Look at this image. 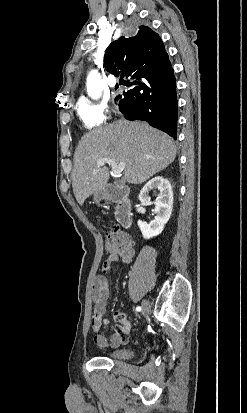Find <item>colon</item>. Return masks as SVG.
<instances>
[{"label":"colon","mask_w":247,"mask_h":413,"mask_svg":"<svg viewBox=\"0 0 247 413\" xmlns=\"http://www.w3.org/2000/svg\"><path fill=\"white\" fill-rule=\"evenodd\" d=\"M127 242V235L119 228H115L107 235V251L114 252L116 248H124Z\"/></svg>","instance_id":"5ec220e1"}]
</instances>
